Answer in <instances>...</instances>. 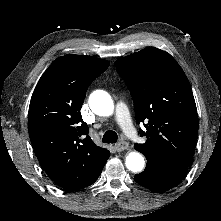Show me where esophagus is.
<instances>
[{"label":"esophagus","mask_w":221,"mask_h":221,"mask_svg":"<svg viewBox=\"0 0 221 221\" xmlns=\"http://www.w3.org/2000/svg\"><path fill=\"white\" fill-rule=\"evenodd\" d=\"M128 147V143L125 141H120L118 144H116L115 149L117 152H121L124 151L125 149H127Z\"/></svg>","instance_id":"1"}]
</instances>
